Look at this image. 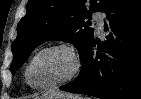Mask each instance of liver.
I'll use <instances>...</instances> for the list:
<instances>
[{"mask_svg":"<svg viewBox=\"0 0 141 99\" xmlns=\"http://www.w3.org/2000/svg\"><path fill=\"white\" fill-rule=\"evenodd\" d=\"M44 95H50L52 99H77L76 96L72 94H68L65 92L58 91V90H51L45 93Z\"/></svg>","mask_w":141,"mask_h":99,"instance_id":"6515ba94","label":"liver"}]
</instances>
